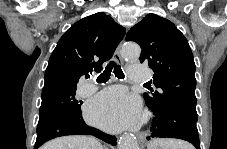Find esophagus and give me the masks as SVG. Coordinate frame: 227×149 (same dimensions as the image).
I'll return each mask as SVG.
<instances>
[{
	"label": "esophagus",
	"mask_w": 227,
	"mask_h": 149,
	"mask_svg": "<svg viewBox=\"0 0 227 149\" xmlns=\"http://www.w3.org/2000/svg\"><path fill=\"white\" fill-rule=\"evenodd\" d=\"M114 60L117 62V63H123V59L121 57V45H118V47L116 48L115 50V53H114ZM138 138H137V141L138 142H145L146 141V135L144 132H139L137 134Z\"/></svg>",
	"instance_id": "esophagus-1"
}]
</instances>
